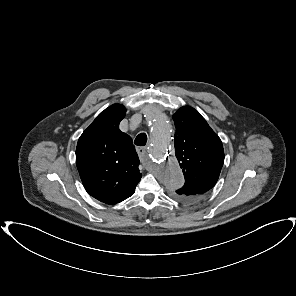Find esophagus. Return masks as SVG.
Masks as SVG:
<instances>
[{"label":"esophagus","instance_id":"1","mask_svg":"<svg viewBox=\"0 0 296 296\" xmlns=\"http://www.w3.org/2000/svg\"><path fill=\"white\" fill-rule=\"evenodd\" d=\"M137 153H138L139 158L141 160H143L147 154V148L146 147H139V148H137Z\"/></svg>","mask_w":296,"mask_h":296}]
</instances>
